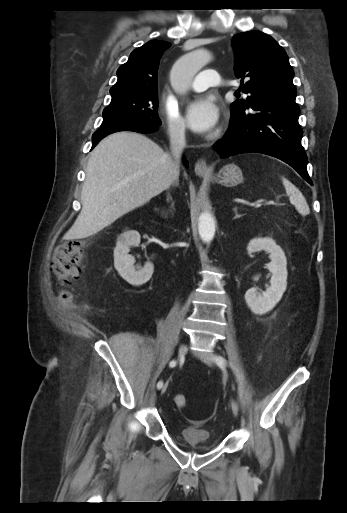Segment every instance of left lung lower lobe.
I'll use <instances>...</instances> for the list:
<instances>
[{
	"instance_id": "1",
	"label": "left lung lower lobe",
	"mask_w": 347,
	"mask_h": 513,
	"mask_svg": "<svg viewBox=\"0 0 347 513\" xmlns=\"http://www.w3.org/2000/svg\"><path fill=\"white\" fill-rule=\"evenodd\" d=\"M299 114L295 102L280 100L258 102L231 111L229 129L214 146L222 158L247 152L276 157L312 185L307 156L301 145L303 132L298 123Z\"/></svg>"
}]
</instances>
